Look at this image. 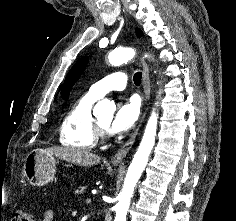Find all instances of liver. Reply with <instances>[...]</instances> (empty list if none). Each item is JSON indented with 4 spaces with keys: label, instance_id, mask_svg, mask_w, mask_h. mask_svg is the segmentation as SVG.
<instances>
[{
    "label": "liver",
    "instance_id": "6515ba94",
    "mask_svg": "<svg viewBox=\"0 0 236 221\" xmlns=\"http://www.w3.org/2000/svg\"><path fill=\"white\" fill-rule=\"evenodd\" d=\"M44 151L67 162L85 167L96 165L101 160V157L97 154L73 147H52Z\"/></svg>",
    "mask_w": 236,
    "mask_h": 221
}]
</instances>
